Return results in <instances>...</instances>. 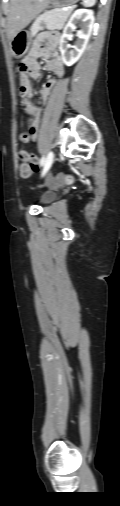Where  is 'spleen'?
<instances>
[{
	"label": "spleen",
	"mask_w": 120,
	"mask_h": 506,
	"mask_svg": "<svg viewBox=\"0 0 120 506\" xmlns=\"http://www.w3.org/2000/svg\"><path fill=\"white\" fill-rule=\"evenodd\" d=\"M96 3V0H83V5L85 7H91Z\"/></svg>",
	"instance_id": "spleen-1"
}]
</instances>
